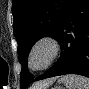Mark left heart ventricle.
I'll return each mask as SVG.
<instances>
[{"label": "left heart ventricle", "instance_id": "left-heart-ventricle-1", "mask_svg": "<svg viewBox=\"0 0 89 89\" xmlns=\"http://www.w3.org/2000/svg\"><path fill=\"white\" fill-rule=\"evenodd\" d=\"M50 49L46 45L38 47L32 55V66L41 67L49 58Z\"/></svg>", "mask_w": 89, "mask_h": 89}]
</instances>
